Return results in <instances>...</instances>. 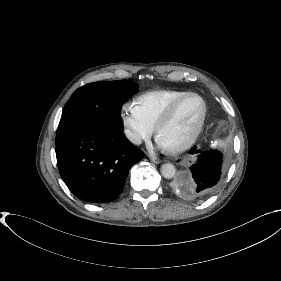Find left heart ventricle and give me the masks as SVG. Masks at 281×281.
<instances>
[{
  "mask_svg": "<svg viewBox=\"0 0 281 281\" xmlns=\"http://www.w3.org/2000/svg\"><path fill=\"white\" fill-rule=\"evenodd\" d=\"M201 114V101L195 97L186 99L159 132V143L165 148H171L187 140L196 129Z\"/></svg>",
  "mask_w": 281,
  "mask_h": 281,
  "instance_id": "obj_1",
  "label": "left heart ventricle"
}]
</instances>
